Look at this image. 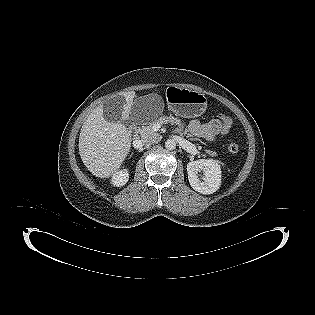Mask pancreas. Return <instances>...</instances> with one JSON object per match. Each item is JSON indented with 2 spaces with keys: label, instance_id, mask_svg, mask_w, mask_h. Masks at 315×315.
Here are the masks:
<instances>
[{
  "label": "pancreas",
  "instance_id": "obj_1",
  "mask_svg": "<svg viewBox=\"0 0 315 315\" xmlns=\"http://www.w3.org/2000/svg\"><path fill=\"white\" fill-rule=\"evenodd\" d=\"M154 123H171V124H176L179 126H182V122L179 118H176L174 116H163L158 118L157 120H155L153 123L149 124L148 126H143L139 132L141 134L142 137H146V136H150V135H156L158 136V133H155L153 130V124ZM186 134V132H184ZM187 137H190V135L188 134ZM206 153H208L211 156H216V152L214 151H210V150H206Z\"/></svg>",
  "mask_w": 315,
  "mask_h": 315
}]
</instances>
